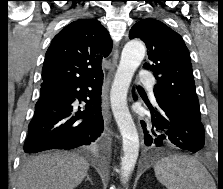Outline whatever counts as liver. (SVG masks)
Here are the masks:
<instances>
[{
    "label": "liver",
    "instance_id": "obj_1",
    "mask_svg": "<svg viewBox=\"0 0 223 189\" xmlns=\"http://www.w3.org/2000/svg\"><path fill=\"white\" fill-rule=\"evenodd\" d=\"M88 169V161L74 153L40 154L24 164L17 188L73 189L83 181Z\"/></svg>",
    "mask_w": 223,
    "mask_h": 189
}]
</instances>
